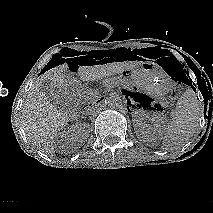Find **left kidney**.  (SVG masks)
I'll return each instance as SVG.
<instances>
[{"label":"left kidney","mask_w":213,"mask_h":213,"mask_svg":"<svg viewBox=\"0 0 213 213\" xmlns=\"http://www.w3.org/2000/svg\"><path fill=\"white\" fill-rule=\"evenodd\" d=\"M132 116L136 135L143 141L153 140L164 127V118L159 114L137 110ZM146 121L152 122L153 127L151 129H146Z\"/></svg>","instance_id":"left-kidney-1"}]
</instances>
